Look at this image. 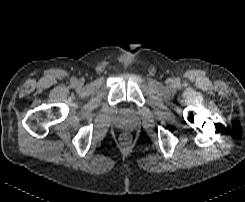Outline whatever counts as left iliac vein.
<instances>
[{"instance_id":"4c4485c4","label":"left iliac vein","mask_w":245,"mask_h":202,"mask_svg":"<svg viewBox=\"0 0 245 202\" xmlns=\"http://www.w3.org/2000/svg\"><path fill=\"white\" fill-rule=\"evenodd\" d=\"M168 84H172V80H169V81H168Z\"/></svg>"}]
</instances>
